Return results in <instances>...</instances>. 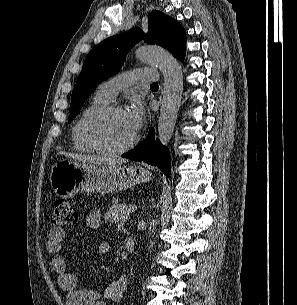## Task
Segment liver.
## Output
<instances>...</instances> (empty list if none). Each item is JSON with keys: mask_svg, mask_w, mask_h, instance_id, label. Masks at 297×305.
<instances>
[{"mask_svg": "<svg viewBox=\"0 0 297 305\" xmlns=\"http://www.w3.org/2000/svg\"><path fill=\"white\" fill-rule=\"evenodd\" d=\"M60 154L72 158L75 161L81 163H87V164H103L108 166H118L127 162L125 159H121V158H103L97 156L77 155V154H71L65 152H62Z\"/></svg>", "mask_w": 297, "mask_h": 305, "instance_id": "1", "label": "liver"}]
</instances>
